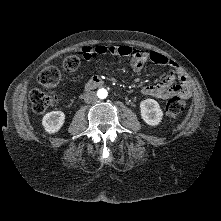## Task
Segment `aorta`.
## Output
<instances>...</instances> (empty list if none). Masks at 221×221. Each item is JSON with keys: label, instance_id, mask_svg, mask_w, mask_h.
Returning <instances> with one entry per match:
<instances>
[{"label": "aorta", "instance_id": "aorta-1", "mask_svg": "<svg viewBox=\"0 0 221 221\" xmlns=\"http://www.w3.org/2000/svg\"><path fill=\"white\" fill-rule=\"evenodd\" d=\"M108 95V92L105 88H100L98 91H97V96L100 98V99H105Z\"/></svg>", "mask_w": 221, "mask_h": 221}]
</instances>
